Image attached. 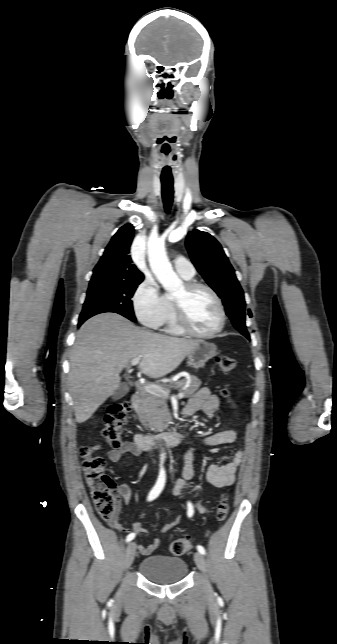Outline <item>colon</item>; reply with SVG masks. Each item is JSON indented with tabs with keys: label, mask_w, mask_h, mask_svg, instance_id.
Returning a JSON list of instances; mask_svg holds the SVG:
<instances>
[{
	"label": "colon",
	"mask_w": 337,
	"mask_h": 644,
	"mask_svg": "<svg viewBox=\"0 0 337 644\" xmlns=\"http://www.w3.org/2000/svg\"><path fill=\"white\" fill-rule=\"evenodd\" d=\"M216 363L223 373L231 372L236 366V361L226 355L218 356ZM221 394L227 396L228 390L223 388ZM129 411L130 407L128 403L122 402L111 405L104 416L102 434L107 444L113 449H117L122 445L123 425ZM96 450V447L83 446L80 448V456L83 459V470L95 509L103 520L110 522L115 519L117 512L115 483L106 473L105 459L98 455ZM228 511V501L226 496H223L216 508V519L220 522L224 521L228 515ZM190 548V540L180 538L171 543L170 552L174 556H181L188 552Z\"/></svg>",
	"instance_id": "colon-1"
}]
</instances>
